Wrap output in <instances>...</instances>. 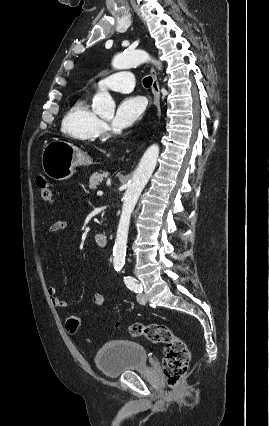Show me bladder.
<instances>
[{"instance_id":"bladder-1","label":"bladder","mask_w":269,"mask_h":426,"mask_svg":"<svg viewBox=\"0 0 269 426\" xmlns=\"http://www.w3.org/2000/svg\"><path fill=\"white\" fill-rule=\"evenodd\" d=\"M94 361L103 375L115 378L147 366L148 354L145 348L135 341L115 339L97 351Z\"/></svg>"}]
</instances>
